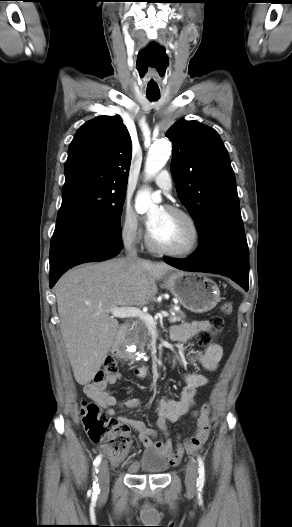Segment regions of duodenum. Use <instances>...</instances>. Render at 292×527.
I'll return each mask as SVG.
<instances>
[{
    "label": "duodenum",
    "mask_w": 292,
    "mask_h": 527,
    "mask_svg": "<svg viewBox=\"0 0 292 527\" xmlns=\"http://www.w3.org/2000/svg\"><path fill=\"white\" fill-rule=\"evenodd\" d=\"M126 332H127V326L126 325H122L121 328L119 329L118 333H117V339H116V346H115V349L118 350V343L125 337L126 335Z\"/></svg>",
    "instance_id": "1"
}]
</instances>
